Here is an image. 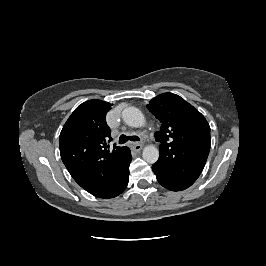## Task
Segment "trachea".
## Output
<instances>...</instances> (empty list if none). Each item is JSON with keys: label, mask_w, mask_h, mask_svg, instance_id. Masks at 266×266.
<instances>
[{"label": "trachea", "mask_w": 266, "mask_h": 266, "mask_svg": "<svg viewBox=\"0 0 266 266\" xmlns=\"http://www.w3.org/2000/svg\"><path fill=\"white\" fill-rule=\"evenodd\" d=\"M128 140H131V141H140V138L138 136H127V135H121L119 137V144H124L126 143Z\"/></svg>", "instance_id": "3493384b"}]
</instances>
